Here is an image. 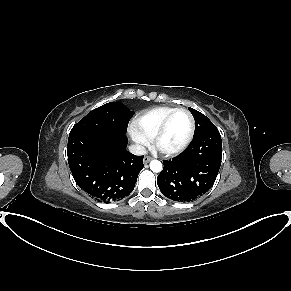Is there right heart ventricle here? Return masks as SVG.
I'll return each mask as SVG.
<instances>
[{
	"instance_id": "right-heart-ventricle-1",
	"label": "right heart ventricle",
	"mask_w": 291,
	"mask_h": 291,
	"mask_svg": "<svg viewBox=\"0 0 291 291\" xmlns=\"http://www.w3.org/2000/svg\"><path fill=\"white\" fill-rule=\"evenodd\" d=\"M175 107L160 106L140 114L135 119V127L148 139L152 140L165 117Z\"/></svg>"
}]
</instances>
